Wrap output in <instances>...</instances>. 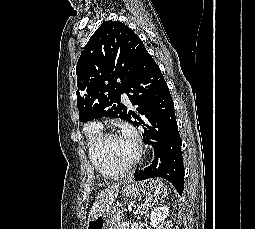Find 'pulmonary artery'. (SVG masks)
I'll return each instance as SVG.
<instances>
[{
    "label": "pulmonary artery",
    "instance_id": "obj_1",
    "mask_svg": "<svg viewBox=\"0 0 255 229\" xmlns=\"http://www.w3.org/2000/svg\"><path fill=\"white\" fill-rule=\"evenodd\" d=\"M122 101H123L125 104L130 105L129 97H128L126 94H123V96H122ZM96 125L101 127V124H100V123H96Z\"/></svg>",
    "mask_w": 255,
    "mask_h": 229
}]
</instances>
